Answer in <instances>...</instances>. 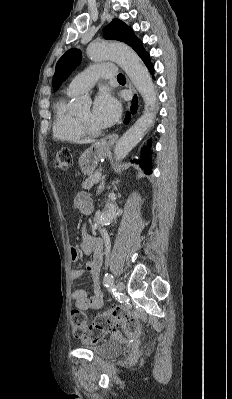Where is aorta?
<instances>
[{"mask_svg":"<svg viewBox=\"0 0 232 399\" xmlns=\"http://www.w3.org/2000/svg\"><path fill=\"white\" fill-rule=\"evenodd\" d=\"M87 55L93 61L114 60L128 75L145 103L143 115L123 134L115 145L114 158L117 162H120L142 140L153 124L157 93L147 68L129 46L107 41L94 42L88 46ZM81 104L82 102L79 103V105ZM115 199V194L109 193L105 210L99 218L102 226L109 225L116 217L117 205Z\"/></svg>","mask_w":232,"mask_h":399,"instance_id":"1","label":"aorta"}]
</instances>
